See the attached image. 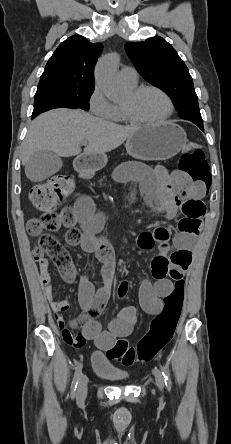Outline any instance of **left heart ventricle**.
<instances>
[{
	"mask_svg": "<svg viewBox=\"0 0 231 444\" xmlns=\"http://www.w3.org/2000/svg\"><path fill=\"white\" fill-rule=\"evenodd\" d=\"M123 105H129L134 114L143 120H157L168 112L166 99L152 90L141 93L135 99H132L128 94Z\"/></svg>",
	"mask_w": 231,
	"mask_h": 444,
	"instance_id": "obj_1",
	"label": "left heart ventricle"
}]
</instances>
